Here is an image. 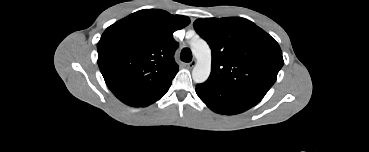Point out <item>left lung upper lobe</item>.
<instances>
[{"instance_id":"1","label":"left lung upper lobe","mask_w":369,"mask_h":152,"mask_svg":"<svg viewBox=\"0 0 369 152\" xmlns=\"http://www.w3.org/2000/svg\"><path fill=\"white\" fill-rule=\"evenodd\" d=\"M193 25L212 50L207 81L264 97L284 64L278 43L240 17L198 19Z\"/></svg>"}]
</instances>
